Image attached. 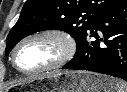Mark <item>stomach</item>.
Wrapping results in <instances>:
<instances>
[{
  "instance_id": "1",
  "label": "stomach",
  "mask_w": 127,
  "mask_h": 92,
  "mask_svg": "<svg viewBox=\"0 0 127 92\" xmlns=\"http://www.w3.org/2000/svg\"><path fill=\"white\" fill-rule=\"evenodd\" d=\"M32 92H114L113 80L85 71H56L29 80ZM8 92V91H6Z\"/></svg>"
}]
</instances>
